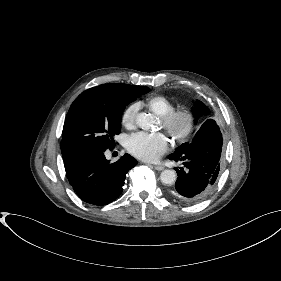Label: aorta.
Listing matches in <instances>:
<instances>
[{"mask_svg": "<svg viewBox=\"0 0 281 281\" xmlns=\"http://www.w3.org/2000/svg\"><path fill=\"white\" fill-rule=\"evenodd\" d=\"M153 118L146 113H140L136 118V124L144 130H149L153 126ZM176 173L173 170L166 169L161 172L160 180L165 185H172L176 181Z\"/></svg>", "mask_w": 281, "mask_h": 281, "instance_id": "1", "label": "aorta"}]
</instances>
